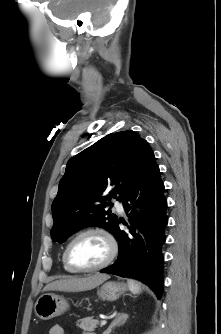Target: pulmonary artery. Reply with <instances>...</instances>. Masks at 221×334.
Here are the masks:
<instances>
[{"instance_id": "1", "label": "pulmonary artery", "mask_w": 221, "mask_h": 334, "mask_svg": "<svg viewBox=\"0 0 221 334\" xmlns=\"http://www.w3.org/2000/svg\"><path fill=\"white\" fill-rule=\"evenodd\" d=\"M114 206H115V208H116V210H117L118 213H120V214L124 213V205H123V203L121 201L116 200L114 202Z\"/></svg>"}]
</instances>
